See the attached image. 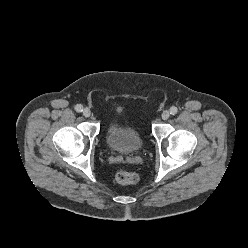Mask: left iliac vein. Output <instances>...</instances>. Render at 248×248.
<instances>
[{"label":"left iliac vein","mask_w":248,"mask_h":248,"mask_svg":"<svg viewBox=\"0 0 248 248\" xmlns=\"http://www.w3.org/2000/svg\"><path fill=\"white\" fill-rule=\"evenodd\" d=\"M161 117L163 120H167L170 117V112L167 110L163 111Z\"/></svg>","instance_id":"left-iliac-vein-1"}]
</instances>
